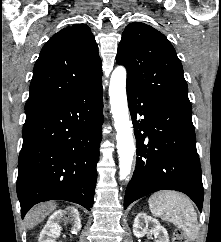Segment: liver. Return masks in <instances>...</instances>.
<instances>
[{
	"label": "liver",
	"instance_id": "6515ba94",
	"mask_svg": "<svg viewBox=\"0 0 221 242\" xmlns=\"http://www.w3.org/2000/svg\"><path fill=\"white\" fill-rule=\"evenodd\" d=\"M54 202H47L33 207L26 215V224L29 229L34 228L56 209Z\"/></svg>",
	"mask_w": 221,
	"mask_h": 242
}]
</instances>
